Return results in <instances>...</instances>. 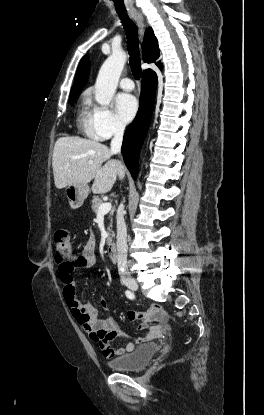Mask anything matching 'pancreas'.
Here are the masks:
<instances>
[{
	"instance_id": "cf45deb5",
	"label": "pancreas",
	"mask_w": 264,
	"mask_h": 415,
	"mask_svg": "<svg viewBox=\"0 0 264 415\" xmlns=\"http://www.w3.org/2000/svg\"><path fill=\"white\" fill-rule=\"evenodd\" d=\"M103 203H104L103 200L101 198H99L98 196L93 197V199L91 201V208H92L93 212L97 213L98 209H99V206ZM111 215H112V213L110 214L109 218H111ZM111 221H112V218H111ZM110 227H112V225H110ZM110 227L108 228L109 237L107 239V244H110V242L112 241V237H111L112 236V230H111Z\"/></svg>"
}]
</instances>
